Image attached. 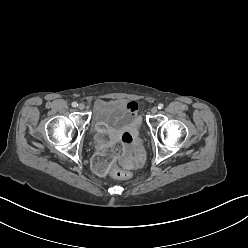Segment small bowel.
I'll list each match as a JSON object with an SVG mask.
<instances>
[{
    "instance_id": "c3829d8e",
    "label": "small bowel",
    "mask_w": 248,
    "mask_h": 248,
    "mask_svg": "<svg viewBox=\"0 0 248 248\" xmlns=\"http://www.w3.org/2000/svg\"><path fill=\"white\" fill-rule=\"evenodd\" d=\"M132 111L137 115L138 104L135 101H129ZM138 118V115H137ZM123 146L119 151V158L126 167H138L144 158V148L137 138V130L132 128L130 132H124L121 136Z\"/></svg>"
}]
</instances>
